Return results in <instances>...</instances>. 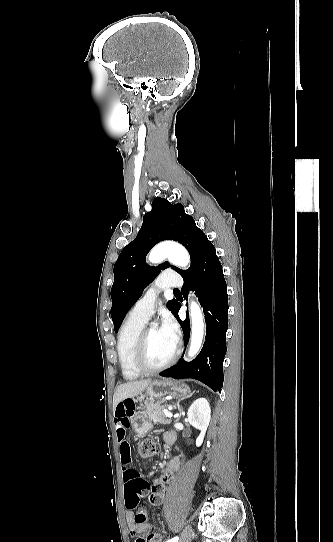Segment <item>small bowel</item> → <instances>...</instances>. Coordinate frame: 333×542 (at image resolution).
<instances>
[{"label": "small bowel", "instance_id": "1", "mask_svg": "<svg viewBox=\"0 0 333 542\" xmlns=\"http://www.w3.org/2000/svg\"><path fill=\"white\" fill-rule=\"evenodd\" d=\"M134 407V404L132 400H120L118 403V406L115 409L114 412V424H115V434H116V442L118 447V452L121 458V461L123 463H128L130 460V441L128 436V428L130 421L133 418V412L132 409ZM169 434V433H168ZM167 434L164 436V440L167 444H170L169 440L167 439ZM180 467V460L178 458H174L170 461L168 464L165 472L157 479L158 485H162L164 483L169 482L172 479V476L174 472H176ZM131 470H125L123 478L126 483H128L131 479ZM130 490L128 489V494H130ZM163 494L161 492H154L150 496V502L153 505H161L163 500ZM127 515L125 516L127 519L129 518V531L131 534L134 535H141V534H147L149 530L151 529L150 523H139L137 522V515L139 511L136 514H132V510H127ZM157 537L161 539V536L159 534H155Z\"/></svg>", "mask_w": 333, "mask_h": 542}]
</instances>
